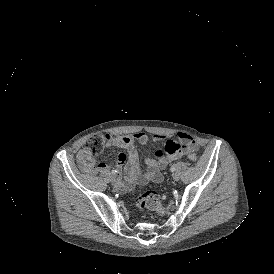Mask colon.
<instances>
[{
	"mask_svg": "<svg viewBox=\"0 0 274 274\" xmlns=\"http://www.w3.org/2000/svg\"><path fill=\"white\" fill-rule=\"evenodd\" d=\"M103 143L104 142H102L101 135L92 136L85 144V153L92 156L99 154L102 151ZM187 159L197 163L200 160V157L197 154L188 153ZM162 202L163 198L159 193L153 190H149L136 197L135 208L150 209L156 212L158 215H162L164 213Z\"/></svg>",
	"mask_w": 274,
	"mask_h": 274,
	"instance_id": "colon-1",
	"label": "colon"
}]
</instances>
